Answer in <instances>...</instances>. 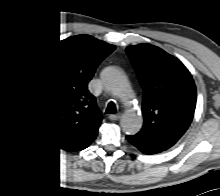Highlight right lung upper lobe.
I'll list each match as a JSON object with an SVG mask.
<instances>
[{
  "instance_id": "right-lung-upper-lobe-1",
  "label": "right lung upper lobe",
  "mask_w": 220,
  "mask_h": 196,
  "mask_svg": "<svg viewBox=\"0 0 220 196\" xmlns=\"http://www.w3.org/2000/svg\"><path fill=\"white\" fill-rule=\"evenodd\" d=\"M114 49L89 35H79L44 53L33 86V103L42 131L55 145L78 149L96 137L102 114L87 84Z\"/></svg>"
}]
</instances>
